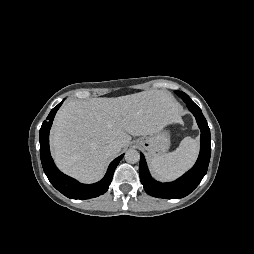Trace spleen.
I'll return each mask as SVG.
<instances>
[{
  "label": "spleen",
  "mask_w": 254,
  "mask_h": 254,
  "mask_svg": "<svg viewBox=\"0 0 254 254\" xmlns=\"http://www.w3.org/2000/svg\"><path fill=\"white\" fill-rule=\"evenodd\" d=\"M198 152V141L185 137L175 151L150 158L149 166L159 179L171 181L181 176L195 163Z\"/></svg>",
  "instance_id": "spleen-1"
}]
</instances>
